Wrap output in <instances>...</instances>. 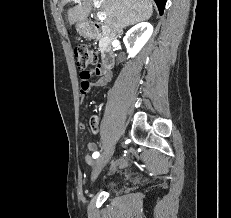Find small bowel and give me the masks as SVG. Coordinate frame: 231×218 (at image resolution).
<instances>
[{"instance_id": "c3829d8e", "label": "small bowel", "mask_w": 231, "mask_h": 218, "mask_svg": "<svg viewBox=\"0 0 231 218\" xmlns=\"http://www.w3.org/2000/svg\"><path fill=\"white\" fill-rule=\"evenodd\" d=\"M80 85H81V92L86 93L91 86L95 87H103L109 83L111 80V75L109 72L105 71L100 63H97L95 66H90L89 69H81L80 71ZM95 74L99 78L94 82L90 83L89 79L90 77ZM81 129L85 128V125L81 123L79 125ZM91 131L92 133L96 134L98 131L97 123L96 121L91 122ZM87 149L89 151H95L97 149V145L94 142H89L87 144ZM92 156L86 155L85 156V161L88 164H94L92 160ZM130 165V160L126 157H123L115 162H113L110 166V170H114L116 167H119L120 169H125L129 167Z\"/></svg>"}]
</instances>
